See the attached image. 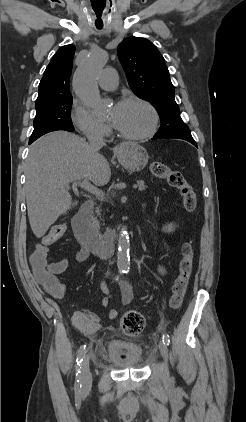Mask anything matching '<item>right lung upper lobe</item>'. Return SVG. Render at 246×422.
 I'll use <instances>...</instances> for the list:
<instances>
[{"instance_id":"right-lung-upper-lobe-1","label":"right lung upper lobe","mask_w":246,"mask_h":422,"mask_svg":"<svg viewBox=\"0 0 246 422\" xmlns=\"http://www.w3.org/2000/svg\"><path fill=\"white\" fill-rule=\"evenodd\" d=\"M74 53L73 45H65L55 53L40 81L36 108L46 106L61 98L72 97L69 79Z\"/></svg>"}]
</instances>
